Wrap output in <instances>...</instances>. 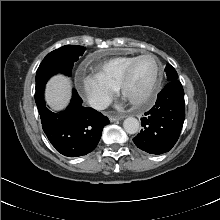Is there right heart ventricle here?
<instances>
[{
    "label": "right heart ventricle",
    "instance_id": "e07e8e85",
    "mask_svg": "<svg viewBox=\"0 0 220 220\" xmlns=\"http://www.w3.org/2000/svg\"><path fill=\"white\" fill-rule=\"evenodd\" d=\"M136 55L117 56L93 67L97 76L115 88L119 87L123 73Z\"/></svg>",
    "mask_w": 220,
    "mask_h": 220
}]
</instances>
